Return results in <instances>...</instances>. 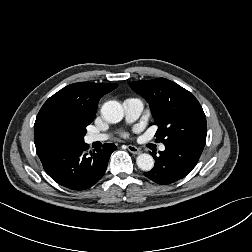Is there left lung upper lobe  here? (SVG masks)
<instances>
[{"label": "left lung upper lobe", "mask_w": 252, "mask_h": 252, "mask_svg": "<svg viewBox=\"0 0 252 252\" xmlns=\"http://www.w3.org/2000/svg\"><path fill=\"white\" fill-rule=\"evenodd\" d=\"M129 86L149 103L154 124L158 126V141L165 146L177 143L205 146L206 117L189 91L165 78L134 81Z\"/></svg>", "instance_id": "left-lung-upper-lobe-1"}]
</instances>
